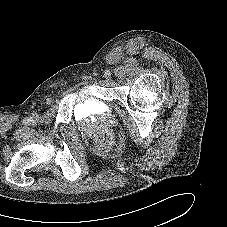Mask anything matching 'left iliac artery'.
<instances>
[{"instance_id": "left-iliac-artery-1", "label": "left iliac artery", "mask_w": 227, "mask_h": 227, "mask_svg": "<svg viewBox=\"0 0 227 227\" xmlns=\"http://www.w3.org/2000/svg\"><path fill=\"white\" fill-rule=\"evenodd\" d=\"M111 75V72L109 71V70H107L106 72H105V76H110Z\"/></svg>"}]
</instances>
